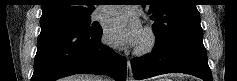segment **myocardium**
<instances>
[{
    "label": "myocardium",
    "instance_id": "myocardium-1",
    "mask_svg": "<svg viewBox=\"0 0 237 81\" xmlns=\"http://www.w3.org/2000/svg\"><path fill=\"white\" fill-rule=\"evenodd\" d=\"M156 42L157 37L155 32L152 28L146 27L143 30V41L136 47L135 53L140 56L150 53L156 46Z\"/></svg>",
    "mask_w": 237,
    "mask_h": 81
}]
</instances>
